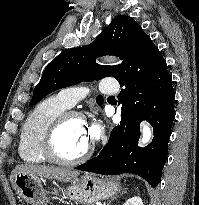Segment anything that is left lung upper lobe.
Here are the masks:
<instances>
[{
    "mask_svg": "<svg viewBox=\"0 0 199 205\" xmlns=\"http://www.w3.org/2000/svg\"><path fill=\"white\" fill-rule=\"evenodd\" d=\"M141 31L135 20L120 15L91 44L61 52L46 66L29 106L37 104L53 91L82 81L90 82L108 76L116 78L123 62L116 66H103L96 64L95 59L103 55H116L124 61ZM97 103L101 104L100 96Z\"/></svg>",
    "mask_w": 199,
    "mask_h": 205,
    "instance_id": "5c2ea615",
    "label": "left lung upper lobe"
}]
</instances>
